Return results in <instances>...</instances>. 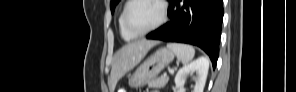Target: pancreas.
Wrapping results in <instances>:
<instances>
[{
	"instance_id": "obj_1",
	"label": "pancreas",
	"mask_w": 296,
	"mask_h": 92,
	"mask_svg": "<svg viewBox=\"0 0 296 92\" xmlns=\"http://www.w3.org/2000/svg\"><path fill=\"white\" fill-rule=\"evenodd\" d=\"M169 77H158L148 82L150 88H163L168 83Z\"/></svg>"
}]
</instances>
